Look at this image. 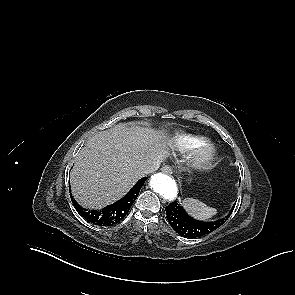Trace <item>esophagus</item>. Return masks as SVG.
I'll return each mask as SVG.
<instances>
[{"mask_svg": "<svg viewBox=\"0 0 295 295\" xmlns=\"http://www.w3.org/2000/svg\"><path fill=\"white\" fill-rule=\"evenodd\" d=\"M164 173H166V174H173V170H172V168L171 167H169V166H164V167H162V169H161Z\"/></svg>", "mask_w": 295, "mask_h": 295, "instance_id": "1", "label": "esophagus"}]
</instances>
